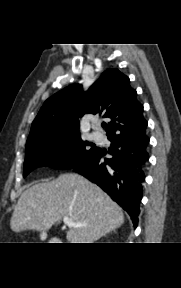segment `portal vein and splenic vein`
Wrapping results in <instances>:
<instances>
[{
	"label": "portal vein and splenic vein",
	"mask_w": 181,
	"mask_h": 288,
	"mask_svg": "<svg viewBox=\"0 0 181 288\" xmlns=\"http://www.w3.org/2000/svg\"><path fill=\"white\" fill-rule=\"evenodd\" d=\"M63 222L65 225L69 227H82L85 225V224H76L69 217H63Z\"/></svg>",
	"instance_id": "portal-vein-and-splenic-vein-1"
}]
</instances>
